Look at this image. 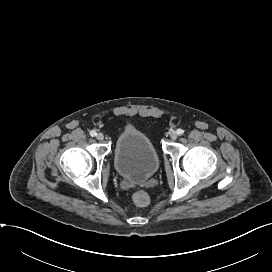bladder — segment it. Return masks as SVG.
Masks as SVG:
<instances>
[{
	"label": "bladder",
	"instance_id": "obj_1",
	"mask_svg": "<svg viewBox=\"0 0 272 272\" xmlns=\"http://www.w3.org/2000/svg\"><path fill=\"white\" fill-rule=\"evenodd\" d=\"M158 152L147 135L135 128H127L117 138L114 165L118 174L140 181L151 177L159 168Z\"/></svg>",
	"mask_w": 272,
	"mask_h": 272
}]
</instances>
